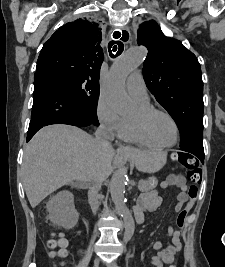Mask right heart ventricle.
Instances as JSON below:
<instances>
[{"instance_id":"1","label":"right heart ventricle","mask_w":225,"mask_h":267,"mask_svg":"<svg viewBox=\"0 0 225 267\" xmlns=\"http://www.w3.org/2000/svg\"><path fill=\"white\" fill-rule=\"evenodd\" d=\"M137 104L139 110H144L151 107L149 101H137ZM122 137L127 141L135 143L142 147L149 149H160L146 137L136 117L128 118L125 120V128Z\"/></svg>"}]
</instances>
